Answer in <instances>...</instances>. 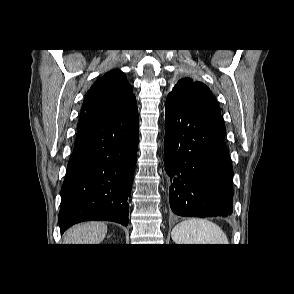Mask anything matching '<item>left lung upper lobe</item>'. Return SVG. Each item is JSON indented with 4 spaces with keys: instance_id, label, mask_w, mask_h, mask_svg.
<instances>
[{
    "instance_id": "1",
    "label": "left lung upper lobe",
    "mask_w": 294,
    "mask_h": 294,
    "mask_svg": "<svg viewBox=\"0 0 294 294\" xmlns=\"http://www.w3.org/2000/svg\"><path fill=\"white\" fill-rule=\"evenodd\" d=\"M167 98L191 109L219 108L210 89L191 77L181 78Z\"/></svg>"
}]
</instances>
